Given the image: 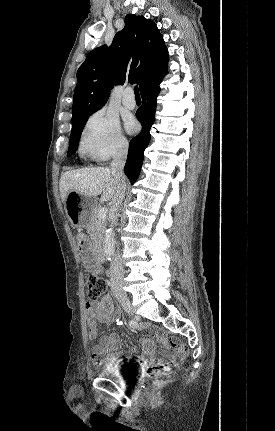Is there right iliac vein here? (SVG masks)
<instances>
[{
    "mask_svg": "<svg viewBox=\"0 0 275 431\" xmlns=\"http://www.w3.org/2000/svg\"><path fill=\"white\" fill-rule=\"evenodd\" d=\"M116 297H117L120 305L123 307V309L125 311H127V312H131L132 311V306H131L130 300H129L128 296L125 293L120 292V293H118L116 295Z\"/></svg>",
    "mask_w": 275,
    "mask_h": 431,
    "instance_id": "1",
    "label": "right iliac vein"
}]
</instances>
